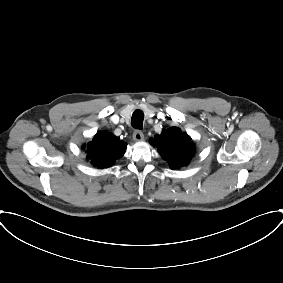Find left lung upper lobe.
I'll return each mask as SVG.
<instances>
[{"label":"left lung upper lobe","mask_w":283,"mask_h":283,"mask_svg":"<svg viewBox=\"0 0 283 283\" xmlns=\"http://www.w3.org/2000/svg\"><path fill=\"white\" fill-rule=\"evenodd\" d=\"M150 142L158 148L161 157L172 169L187 165L193 155L192 139L176 127L164 130Z\"/></svg>","instance_id":"5c2ea615"}]
</instances>
